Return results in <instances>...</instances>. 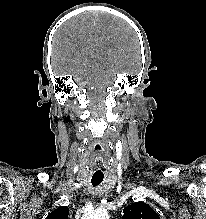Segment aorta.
I'll list each match as a JSON object with an SVG mask.
<instances>
[{
    "instance_id": "aorta-1",
    "label": "aorta",
    "mask_w": 206,
    "mask_h": 219,
    "mask_svg": "<svg viewBox=\"0 0 206 219\" xmlns=\"http://www.w3.org/2000/svg\"><path fill=\"white\" fill-rule=\"evenodd\" d=\"M83 219H109L107 211L98 209L94 212L85 214Z\"/></svg>"
}]
</instances>
